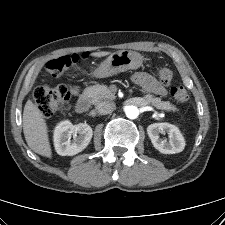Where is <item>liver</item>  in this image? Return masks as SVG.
I'll list each match as a JSON object with an SVG mask.
<instances>
[{
    "mask_svg": "<svg viewBox=\"0 0 225 225\" xmlns=\"http://www.w3.org/2000/svg\"><path fill=\"white\" fill-rule=\"evenodd\" d=\"M108 54H110V52H93L91 56L104 57ZM23 132L28 146L35 153L48 158L52 157L44 116L31 100H28L24 107Z\"/></svg>",
    "mask_w": 225,
    "mask_h": 225,
    "instance_id": "6515ba94",
    "label": "liver"
}]
</instances>
